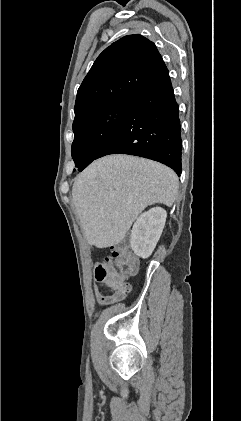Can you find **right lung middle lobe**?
Here are the masks:
<instances>
[{
	"instance_id": "right-lung-middle-lobe-1",
	"label": "right lung middle lobe",
	"mask_w": 241,
	"mask_h": 421,
	"mask_svg": "<svg viewBox=\"0 0 241 421\" xmlns=\"http://www.w3.org/2000/svg\"><path fill=\"white\" fill-rule=\"evenodd\" d=\"M130 100L119 101L93 110L74 120L72 157L83 170L98 155L119 128Z\"/></svg>"
}]
</instances>
